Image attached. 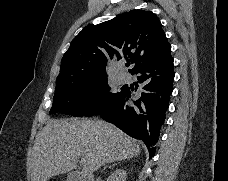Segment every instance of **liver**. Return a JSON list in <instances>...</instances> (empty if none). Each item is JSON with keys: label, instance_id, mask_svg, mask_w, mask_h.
Here are the masks:
<instances>
[{"label": "liver", "instance_id": "1", "mask_svg": "<svg viewBox=\"0 0 228 181\" xmlns=\"http://www.w3.org/2000/svg\"><path fill=\"white\" fill-rule=\"evenodd\" d=\"M141 153L139 141L99 119L47 121L34 141L31 181H49L70 173L79 159L82 175L93 177L106 163L132 159Z\"/></svg>", "mask_w": 228, "mask_h": 181}]
</instances>
